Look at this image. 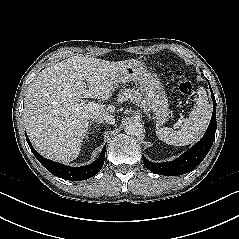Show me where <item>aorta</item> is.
Listing matches in <instances>:
<instances>
[{
  "label": "aorta",
  "instance_id": "1",
  "mask_svg": "<svg viewBox=\"0 0 239 239\" xmlns=\"http://www.w3.org/2000/svg\"><path fill=\"white\" fill-rule=\"evenodd\" d=\"M125 132L128 135L138 136L143 133V125L138 120H129L125 125Z\"/></svg>",
  "mask_w": 239,
  "mask_h": 239
}]
</instances>
